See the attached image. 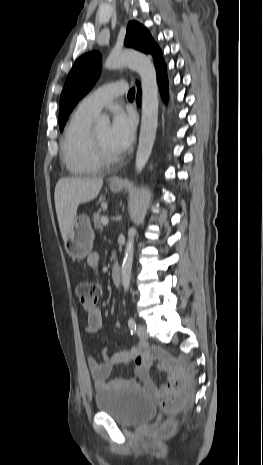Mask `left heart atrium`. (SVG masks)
I'll list each match as a JSON object with an SVG mask.
<instances>
[{"instance_id":"obj_1","label":"left heart atrium","mask_w":263,"mask_h":465,"mask_svg":"<svg viewBox=\"0 0 263 465\" xmlns=\"http://www.w3.org/2000/svg\"><path fill=\"white\" fill-rule=\"evenodd\" d=\"M135 121L132 115L121 108L113 111L112 123L109 130V140L117 152L124 151L134 137Z\"/></svg>"}]
</instances>
